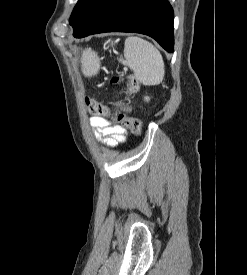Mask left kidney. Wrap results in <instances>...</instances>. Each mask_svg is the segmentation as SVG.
Listing matches in <instances>:
<instances>
[{
	"label": "left kidney",
	"mask_w": 247,
	"mask_h": 275,
	"mask_svg": "<svg viewBox=\"0 0 247 275\" xmlns=\"http://www.w3.org/2000/svg\"><path fill=\"white\" fill-rule=\"evenodd\" d=\"M145 100L148 101V100H149V97H145Z\"/></svg>",
	"instance_id": "left-kidney-1"
}]
</instances>
